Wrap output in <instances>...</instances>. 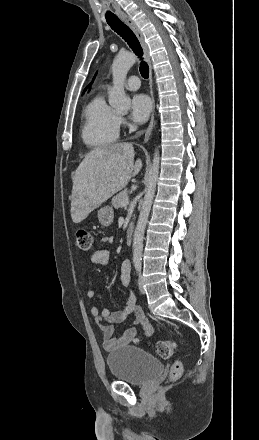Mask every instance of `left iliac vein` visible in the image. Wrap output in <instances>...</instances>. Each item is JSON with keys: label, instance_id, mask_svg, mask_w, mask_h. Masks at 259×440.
<instances>
[{"label": "left iliac vein", "instance_id": "1", "mask_svg": "<svg viewBox=\"0 0 259 440\" xmlns=\"http://www.w3.org/2000/svg\"><path fill=\"white\" fill-rule=\"evenodd\" d=\"M139 290L142 294H145V289L143 287V280H142V276H139Z\"/></svg>", "mask_w": 259, "mask_h": 440}]
</instances>
